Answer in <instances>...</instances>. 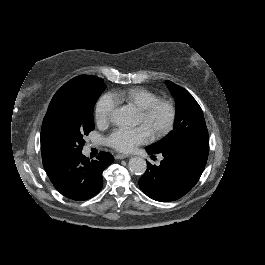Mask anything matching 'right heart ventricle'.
<instances>
[{
  "label": "right heart ventricle",
  "instance_id": "1",
  "mask_svg": "<svg viewBox=\"0 0 265 265\" xmlns=\"http://www.w3.org/2000/svg\"><path fill=\"white\" fill-rule=\"evenodd\" d=\"M110 96L117 105L130 106L138 112L159 99L154 92L143 87L115 89L110 93Z\"/></svg>",
  "mask_w": 265,
  "mask_h": 265
}]
</instances>
